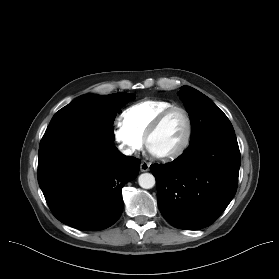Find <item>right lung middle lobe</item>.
Listing matches in <instances>:
<instances>
[{
  "label": "right lung middle lobe",
  "mask_w": 279,
  "mask_h": 279,
  "mask_svg": "<svg viewBox=\"0 0 279 279\" xmlns=\"http://www.w3.org/2000/svg\"><path fill=\"white\" fill-rule=\"evenodd\" d=\"M134 98V94L127 93L80 96L53 116L45 133L66 127H83L114 141L112 127L116 113Z\"/></svg>",
  "instance_id": "1"
}]
</instances>
